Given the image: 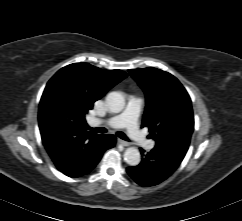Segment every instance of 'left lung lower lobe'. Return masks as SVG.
<instances>
[{
  "instance_id": "left-lung-lower-lobe-1",
  "label": "left lung lower lobe",
  "mask_w": 242,
  "mask_h": 221,
  "mask_svg": "<svg viewBox=\"0 0 242 221\" xmlns=\"http://www.w3.org/2000/svg\"><path fill=\"white\" fill-rule=\"evenodd\" d=\"M138 166L128 167L127 172L131 178L143 187L154 186L167 179L180 165L183 159L170 152L154 147L144 154Z\"/></svg>"
}]
</instances>
